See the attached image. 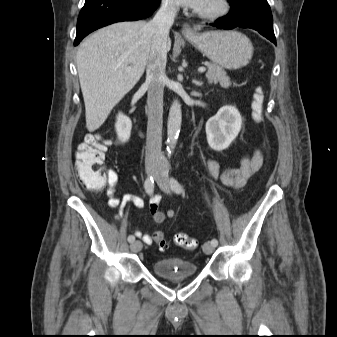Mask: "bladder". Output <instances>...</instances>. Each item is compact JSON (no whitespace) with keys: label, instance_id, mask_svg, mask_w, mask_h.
Returning <instances> with one entry per match:
<instances>
[{"label":"bladder","instance_id":"1","mask_svg":"<svg viewBox=\"0 0 337 337\" xmlns=\"http://www.w3.org/2000/svg\"><path fill=\"white\" fill-rule=\"evenodd\" d=\"M153 273L162 278L191 277L197 274L198 267L181 257H167L156 260L152 265Z\"/></svg>","mask_w":337,"mask_h":337}]
</instances>
